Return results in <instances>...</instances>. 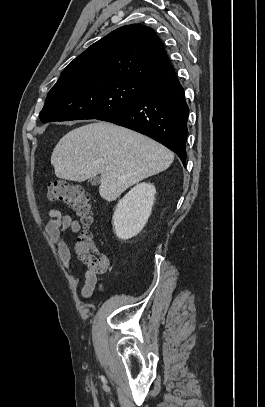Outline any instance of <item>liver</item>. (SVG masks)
<instances>
[{"instance_id": "6515ba94", "label": "liver", "mask_w": 265, "mask_h": 407, "mask_svg": "<svg viewBox=\"0 0 265 407\" xmlns=\"http://www.w3.org/2000/svg\"><path fill=\"white\" fill-rule=\"evenodd\" d=\"M173 160L174 154L162 144L104 121L71 130L51 156L60 179L83 182L100 174L99 194L107 201L116 200L130 186L166 170Z\"/></svg>"}]
</instances>
